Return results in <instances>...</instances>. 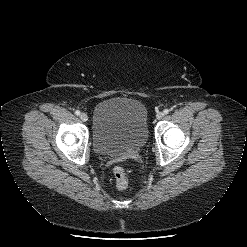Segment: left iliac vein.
<instances>
[{"label": "left iliac vein", "instance_id": "obj_1", "mask_svg": "<svg viewBox=\"0 0 247 247\" xmlns=\"http://www.w3.org/2000/svg\"><path fill=\"white\" fill-rule=\"evenodd\" d=\"M163 117H164V113H163V112H158V113L156 114V118H157L158 120L162 119Z\"/></svg>", "mask_w": 247, "mask_h": 247}]
</instances>
